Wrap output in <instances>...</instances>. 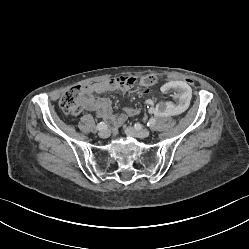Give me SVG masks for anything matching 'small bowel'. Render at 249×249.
I'll use <instances>...</instances> for the list:
<instances>
[{
  "mask_svg": "<svg viewBox=\"0 0 249 249\" xmlns=\"http://www.w3.org/2000/svg\"><path fill=\"white\" fill-rule=\"evenodd\" d=\"M148 77L149 76H147V78ZM134 85L140 88L148 87L130 76H115L93 84L85 85L82 88L84 92L83 107L87 110L96 111L97 115L104 119L114 132H117L127 118L139 114V109L126 107L122 112L113 114L112 101L106 97H95L94 94L111 91L123 93L128 91ZM147 104L151 106L152 103L151 101H148Z\"/></svg>",
  "mask_w": 249,
  "mask_h": 249,
  "instance_id": "c3829d8e",
  "label": "small bowel"
}]
</instances>
